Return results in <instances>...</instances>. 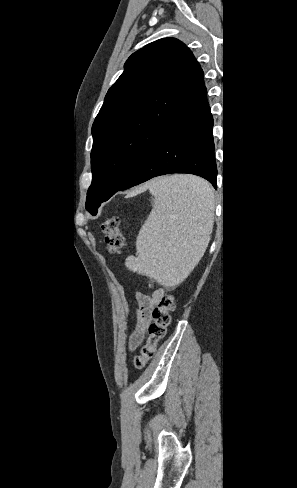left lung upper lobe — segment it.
<instances>
[{"instance_id": "1", "label": "left lung upper lobe", "mask_w": 297, "mask_h": 488, "mask_svg": "<svg viewBox=\"0 0 297 488\" xmlns=\"http://www.w3.org/2000/svg\"><path fill=\"white\" fill-rule=\"evenodd\" d=\"M203 76L190 49L175 38L128 58L92 126L89 213L96 215L172 132L208 105Z\"/></svg>"}]
</instances>
